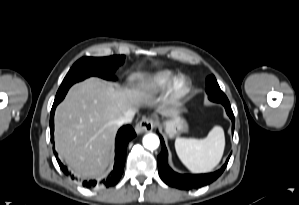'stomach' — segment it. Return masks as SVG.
<instances>
[{
	"mask_svg": "<svg viewBox=\"0 0 299 205\" xmlns=\"http://www.w3.org/2000/svg\"><path fill=\"white\" fill-rule=\"evenodd\" d=\"M164 125L166 134L171 138L186 131L188 128L187 122L178 115L166 121Z\"/></svg>",
	"mask_w": 299,
	"mask_h": 205,
	"instance_id": "1",
	"label": "stomach"
}]
</instances>
